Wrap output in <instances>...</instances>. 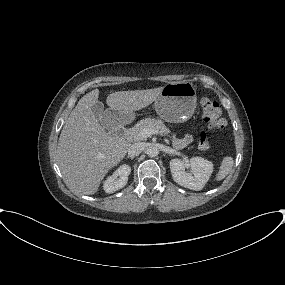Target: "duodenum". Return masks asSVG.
<instances>
[{
  "mask_svg": "<svg viewBox=\"0 0 285 285\" xmlns=\"http://www.w3.org/2000/svg\"><path fill=\"white\" fill-rule=\"evenodd\" d=\"M111 131L117 134L119 137H122L124 134V127L120 123H113L111 127Z\"/></svg>",
  "mask_w": 285,
  "mask_h": 285,
  "instance_id": "obj_1",
  "label": "duodenum"
}]
</instances>
